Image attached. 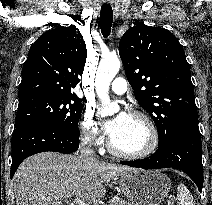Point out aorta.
I'll list each match as a JSON object with an SVG mask.
<instances>
[{
  "instance_id": "aorta-1",
  "label": "aorta",
  "mask_w": 212,
  "mask_h": 205,
  "mask_svg": "<svg viewBox=\"0 0 212 205\" xmlns=\"http://www.w3.org/2000/svg\"><path fill=\"white\" fill-rule=\"evenodd\" d=\"M121 63L117 56L103 57L98 66L95 79L96 93L103 104V112L106 114L113 109L108 96L109 86L120 69Z\"/></svg>"
}]
</instances>
